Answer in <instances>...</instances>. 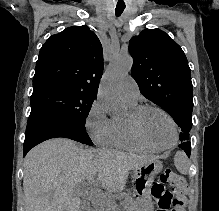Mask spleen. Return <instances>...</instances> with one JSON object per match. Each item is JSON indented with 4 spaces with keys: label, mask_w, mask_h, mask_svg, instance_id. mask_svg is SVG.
I'll return each mask as SVG.
<instances>
[{
    "label": "spleen",
    "mask_w": 219,
    "mask_h": 211,
    "mask_svg": "<svg viewBox=\"0 0 219 211\" xmlns=\"http://www.w3.org/2000/svg\"><path fill=\"white\" fill-rule=\"evenodd\" d=\"M174 165L177 167L180 173H188L190 167V161L185 151H176L174 155Z\"/></svg>",
    "instance_id": "obj_1"
}]
</instances>
